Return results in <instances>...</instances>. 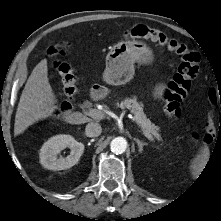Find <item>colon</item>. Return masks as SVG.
<instances>
[{
    "mask_svg": "<svg viewBox=\"0 0 221 221\" xmlns=\"http://www.w3.org/2000/svg\"><path fill=\"white\" fill-rule=\"evenodd\" d=\"M127 39H145L155 42L166 47L169 51L181 57V63L172 80L168 83L163 91V99L165 102V110L169 117L175 120H180L182 117L181 102L187 96L194 78L199 72L201 56L198 52L188 48L182 42L168 38L159 30L147 27L145 25H136L124 33ZM48 54L51 57L57 58L54 61V68L62 78L65 94L68 98L77 92L78 76L73 66L67 62L58 59L64 55L65 49L63 45L51 46L48 49ZM71 108V105L64 103L56 113L66 111ZM215 136L212 118H209L205 131L202 135L195 132H190L189 141L196 145L200 142L210 143Z\"/></svg>",
    "mask_w": 221,
    "mask_h": 221,
    "instance_id": "obj_1",
    "label": "colon"
}]
</instances>
